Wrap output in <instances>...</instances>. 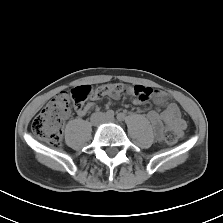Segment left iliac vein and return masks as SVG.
I'll return each mask as SVG.
<instances>
[{"instance_id":"1","label":"left iliac vein","mask_w":223,"mask_h":223,"mask_svg":"<svg viewBox=\"0 0 223 223\" xmlns=\"http://www.w3.org/2000/svg\"><path fill=\"white\" fill-rule=\"evenodd\" d=\"M106 122L116 123V120L113 117H111V118H107Z\"/></svg>"}]
</instances>
